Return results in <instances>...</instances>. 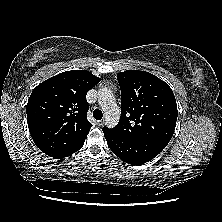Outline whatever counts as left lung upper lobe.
Returning <instances> with one entry per match:
<instances>
[{"instance_id":"obj_1","label":"left lung upper lobe","mask_w":222,"mask_h":222,"mask_svg":"<svg viewBox=\"0 0 222 222\" xmlns=\"http://www.w3.org/2000/svg\"><path fill=\"white\" fill-rule=\"evenodd\" d=\"M121 89V117L115 135L129 140L166 144L172 138L178 110L171 88L155 75L127 70L117 74Z\"/></svg>"}]
</instances>
